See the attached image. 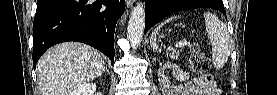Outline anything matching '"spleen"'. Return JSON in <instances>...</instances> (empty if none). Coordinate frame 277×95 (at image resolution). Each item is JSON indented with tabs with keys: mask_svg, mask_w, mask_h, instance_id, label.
<instances>
[{
	"mask_svg": "<svg viewBox=\"0 0 277 95\" xmlns=\"http://www.w3.org/2000/svg\"><path fill=\"white\" fill-rule=\"evenodd\" d=\"M180 16H174L166 20L159 27L155 29L150 38L151 47L155 50H158V45L156 43V35L160 28ZM205 18V27L208 33V39L212 45V61L215 68H222L229 56L231 51V42L230 36L227 31L226 25L214 14L207 12L204 14Z\"/></svg>",
	"mask_w": 277,
	"mask_h": 95,
	"instance_id": "3e777b00",
	"label": "spleen"
}]
</instances>
